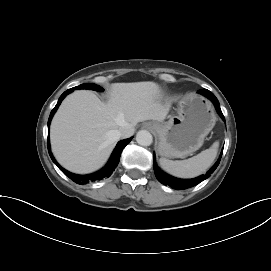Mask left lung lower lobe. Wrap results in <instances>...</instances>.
I'll return each mask as SVG.
<instances>
[{"mask_svg":"<svg viewBox=\"0 0 271 271\" xmlns=\"http://www.w3.org/2000/svg\"><path fill=\"white\" fill-rule=\"evenodd\" d=\"M198 92L203 94L204 96H206L207 98H209L213 102L217 112L222 117V119L225 120L223 113L220 109V104H219L217 98L215 97V95L207 89L199 90ZM153 156H154V160H155V155L153 154ZM221 156H222V153H221L219 159L217 160V162L214 164V166L205 175H201V176L196 177L194 179H186L185 180V179L174 178V177L164 173L163 171H161L157 165H154L155 175L160 183H162L164 185H169L173 189H177V190L187 189V188L193 187V186L199 184L200 182H202L203 180L207 179L210 176V174L213 173L215 171V169L217 168V166L219 165V162L221 160Z\"/></svg>","mask_w":271,"mask_h":271,"instance_id":"obj_1","label":"left lung lower lobe"}]
</instances>
